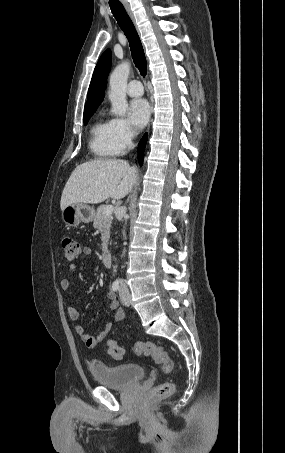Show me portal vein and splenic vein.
<instances>
[{
  "mask_svg": "<svg viewBox=\"0 0 285 453\" xmlns=\"http://www.w3.org/2000/svg\"><path fill=\"white\" fill-rule=\"evenodd\" d=\"M112 212H113V206L112 205H107L103 209V214H105V215L112 214Z\"/></svg>",
  "mask_w": 285,
  "mask_h": 453,
  "instance_id": "portal-vein-and-splenic-vein-1",
  "label": "portal vein and splenic vein"
}]
</instances>
